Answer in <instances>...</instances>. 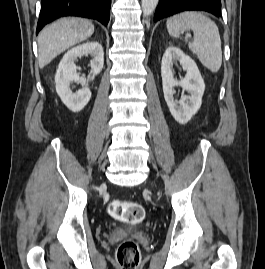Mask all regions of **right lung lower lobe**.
I'll use <instances>...</instances> for the list:
<instances>
[{
  "instance_id": "obj_1",
  "label": "right lung lower lobe",
  "mask_w": 265,
  "mask_h": 269,
  "mask_svg": "<svg viewBox=\"0 0 265 269\" xmlns=\"http://www.w3.org/2000/svg\"><path fill=\"white\" fill-rule=\"evenodd\" d=\"M111 0H42L36 34L51 21L63 16H80L100 21L110 19Z\"/></svg>"
}]
</instances>
